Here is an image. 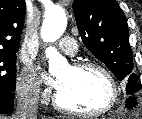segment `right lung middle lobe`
I'll return each mask as SVG.
<instances>
[{"label":"right lung middle lobe","instance_id":"1","mask_svg":"<svg viewBox=\"0 0 142 119\" xmlns=\"http://www.w3.org/2000/svg\"><path fill=\"white\" fill-rule=\"evenodd\" d=\"M16 53L0 51V93L12 94L16 88Z\"/></svg>","mask_w":142,"mask_h":119}]
</instances>
